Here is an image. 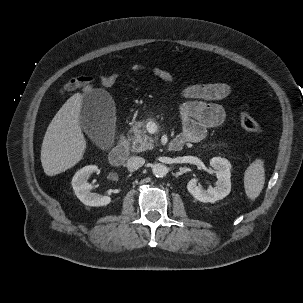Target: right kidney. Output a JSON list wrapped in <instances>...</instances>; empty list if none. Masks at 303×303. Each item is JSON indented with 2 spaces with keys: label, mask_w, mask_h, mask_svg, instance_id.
Segmentation results:
<instances>
[{
  "label": "right kidney",
  "mask_w": 303,
  "mask_h": 303,
  "mask_svg": "<svg viewBox=\"0 0 303 303\" xmlns=\"http://www.w3.org/2000/svg\"><path fill=\"white\" fill-rule=\"evenodd\" d=\"M96 170L97 166L88 165L77 171L71 182L72 188L83 204L87 206H106L111 202V198L91 192L92 185L87 182V178Z\"/></svg>",
  "instance_id": "ca27d5eb"
}]
</instances>
